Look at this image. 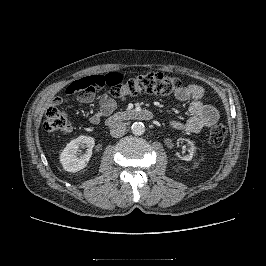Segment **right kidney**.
Listing matches in <instances>:
<instances>
[{"mask_svg": "<svg viewBox=\"0 0 266 266\" xmlns=\"http://www.w3.org/2000/svg\"><path fill=\"white\" fill-rule=\"evenodd\" d=\"M94 145V138L90 136L81 135L71 140L60 154V162L64 170L74 173L85 168L91 158ZM80 147H86L87 151L78 157Z\"/></svg>", "mask_w": 266, "mask_h": 266, "instance_id": "1", "label": "right kidney"}]
</instances>
